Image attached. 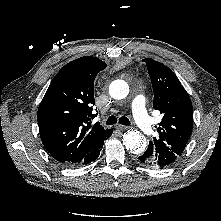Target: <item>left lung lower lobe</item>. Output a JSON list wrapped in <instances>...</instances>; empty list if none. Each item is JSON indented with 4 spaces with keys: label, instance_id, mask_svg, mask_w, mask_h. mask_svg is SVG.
<instances>
[{
    "label": "left lung lower lobe",
    "instance_id": "obj_1",
    "mask_svg": "<svg viewBox=\"0 0 221 221\" xmlns=\"http://www.w3.org/2000/svg\"><path fill=\"white\" fill-rule=\"evenodd\" d=\"M138 162L148 168H154V169H163L162 165L158 164L155 160V157L153 156L152 152H145L143 155L138 157Z\"/></svg>",
    "mask_w": 221,
    "mask_h": 221
}]
</instances>
